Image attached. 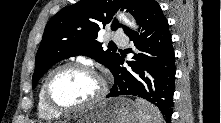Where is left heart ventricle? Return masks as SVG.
I'll list each match as a JSON object with an SVG mask.
<instances>
[{
    "label": "left heart ventricle",
    "mask_w": 221,
    "mask_h": 123,
    "mask_svg": "<svg viewBox=\"0 0 221 123\" xmlns=\"http://www.w3.org/2000/svg\"><path fill=\"white\" fill-rule=\"evenodd\" d=\"M101 83L95 75L77 68L58 72L51 83V95L62 105H77L92 100L100 91Z\"/></svg>",
    "instance_id": "b2bd125f"
}]
</instances>
